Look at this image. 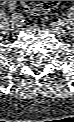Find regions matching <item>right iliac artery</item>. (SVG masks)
<instances>
[{"label": "right iliac artery", "mask_w": 74, "mask_h": 122, "mask_svg": "<svg viewBox=\"0 0 74 122\" xmlns=\"http://www.w3.org/2000/svg\"><path fill=\"white\" fill-rule=\"evenodd\" d=\"M12 16H14V14H13ZM15 18H16V17H15ZM13 23H15V21H13Z\"/></svg>", "instance_id": "82829eb1"}]
</instances>
